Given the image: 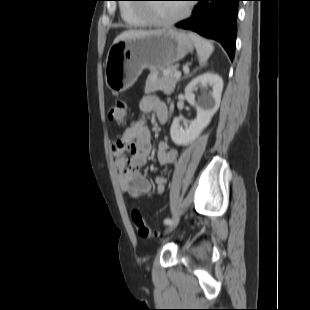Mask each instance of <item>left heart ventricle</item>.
Here are the masks:
<instances>
[{
    "label": "left heart ventricle",
    "instance_id": "obj_1",
    "mask_svg": "<svg viewBox=\"0 0 310 310\" xmlns=\"http://www.w3.org/2000/svg\"><path fill=\"white\" fill-rule=\"evenodd\" d=\"M150 10L158 18L169 19L180 14L183 7L175 4H158L150 8Z\"/></svg>",
    "mask_w": 310,
    "mask_h": 310
}]
</instances>
